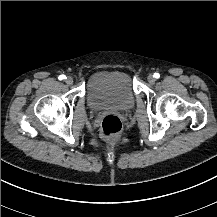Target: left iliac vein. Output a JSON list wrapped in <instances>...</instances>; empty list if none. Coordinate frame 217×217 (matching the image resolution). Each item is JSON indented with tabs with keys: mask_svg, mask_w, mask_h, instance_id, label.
<instances>
[{
	"mask_svg": "<svg viewBox=\"0 0 217 217\" xmlns=\"http://www.w3.org/2000/svg\"><path fill=\"white\" fill-rule=\"evenodd\" d=\"M147 80H148V82H149L150 84H154L155 81H156V79H155L154 76H152V75H149V76L147 77Z\"/></svg>",
	"mask_w": 217,
	"mask_h": 217,
	"instance_id": "left-iliac-vein-1",
	"label": "left iliac vein"
}]
</instances>
